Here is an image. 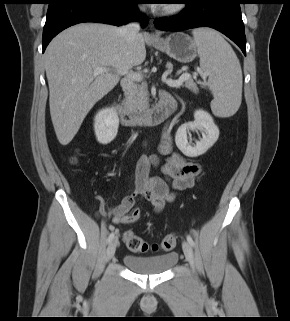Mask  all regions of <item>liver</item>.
Here are the masks:
<instances>
[{
	"label": "liver",
	"instance_id": "obj_1",
	"mask_svg": "<svg viewBox=\"0 0 290 321\" xmlns=\"http://www.w3.org/2000/svg\"><path fill=\"white\" fill-rule=\"evenodd\" d=\"M120 28L80 23L59 33L45 52L50 115L57 139L68 145L84 118L119 82L121 75L146 58L145 39L128 42ZM97 67L106 71L94 75Z\"/></svg>",
	"mask_w": 290,
	"mask_h": 321
}]
</instances>
